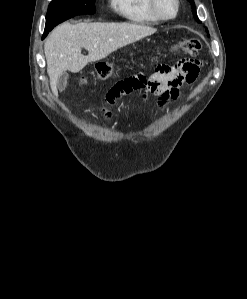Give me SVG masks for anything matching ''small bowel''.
Masks as SVG:
<instances>
[{
	"instance_id": "small-bowel-1",
	"label": "small bowel",
	"mask_w": 247,
	"mask_h": 299,
	"mask_svg": "<svg viewBox=\"0 0 247 299\" xmlns=\"http://www.w3.org/2000/svg\"><path fill=\"white\" fill-rule=\"evenodd\" d=\"M199 70L200 62L193 59H183L170 65H159L148 77L138 73L122 79L109 91L106 100L109 103H114L121 95L142 89L144 90V101H146L148 94H152L157 97V104L163 109L170 101L180 97V87L184 83L192 84L195 82ZM103 111L106 118L111 117L110 112L105 109Z\"/></svg>"
}]
</instances>
